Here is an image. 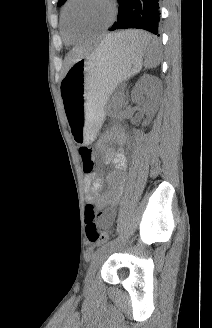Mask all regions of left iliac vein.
Wrapping results in <instances>:
<instances>
[{"label":"left iliac vein","instance_id":"left-iliac-vein-1","mask_svg":"<svg viewBox=\"0 0 212 328\" xmlns=\"http://www.w3.org/2000/svg\"><path fill=\"white\" fill-rule=\"evenodd\" d=\"M112 250L111 249H108V250H105L103 252H101L100 254L97 255V257L92 261L88 271H87V274H86V278H85V282L87 284H90L92 283L93 279H94V276H95V273L97 271V268L99 266V264L103 261L104 257L106 256V254L108 252H110Z\"/></svg>","mask_w":212,"mask_h":328}]
</instances>
